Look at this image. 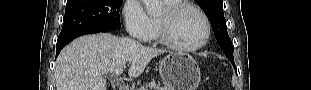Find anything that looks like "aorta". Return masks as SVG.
<instances>
[{
    "mask_svg": "<svg viewBox=\"0 0 311 90\" xmlns=\"http://www.w3.org/2000/svg\"><path fill=\"white\" fill-rule=\"evenodd\" d=\"M143 4L149 15H155L162 9L160 0H143Z\"/></svg>",
    "mask_w": 311,
    "mask_h": 90,
    "instance_id": "1",
    "label": "aorta"
}]
</instances>
